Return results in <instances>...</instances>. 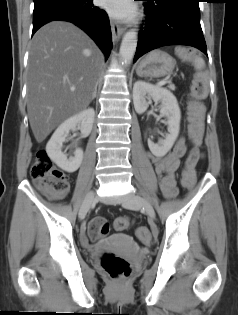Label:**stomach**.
<instances>
[{"label":"stomach","instance_id":"1","mask_svg":"<svg viewBox=\"0 0 238 315\" xmlns=\"http://www.w3.org/2000/svg\"><path fill=\"white\" fill-rule=\"evenodd\" d=\"M175 60L165 51L154 50L137 65L136 73L141 77H164L172 73Z\"/></svg>","mask_w":238,"mask_h":315}]
</instances>
